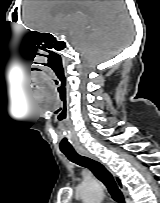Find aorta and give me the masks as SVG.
<instances>
[{"label": "aorta", "mask_w": 160, "mask_h": 203, "mask_svg": "<svg viewBox=\"0 0 160 203\" xmlns=\"http://www.w3.org/2000/svg\"><path fill=\"white\" fill-rule=\"evenodd\" d=\"M79 192L83 203H101L104 196L103 187L96 180L84 182Z\"/></svg>", "instance_id": "aorta-1"}]
</instances>
